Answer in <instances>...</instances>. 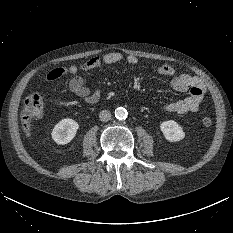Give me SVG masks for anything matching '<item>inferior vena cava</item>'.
Listing matches in <instances>:
<instances>
[{"label": "inferior vena cava", "instance_id": "obj_1", "mask_svg": "<svg viewBox=\"0 0 233 233\" xmlns=\"http://www.w3.org/2000/svg\"><path fill=\"white\" fill-rule=\"evenodd\" d=\"M99 118L102 122H107L111 119V112L108 110H102L99 113Z\"/></svg>", "mask_w": 233, "mask_h": 233}]
</instances>
